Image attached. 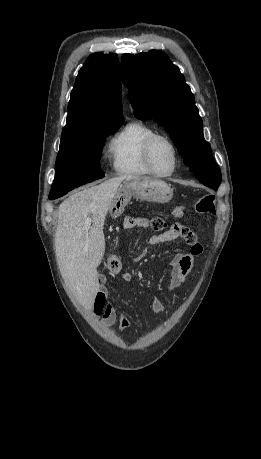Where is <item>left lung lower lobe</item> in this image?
<instances>
[{
    "label": "left lung lower lobe",
    "mask_w": 261,
    "mask_h": 459,
    "mask_svg": "<svg viewBox=\"0 0 261 459\" xmlns=\"http://www.w3.org/2000/svg\"><path fill=\"white\" fill-rule=\"evenodd\" d=\"M205 186H208L214 190H217L218 187H219V184H215V183H203Z\"/></svg>",
    "instance_id": "obj_1"
}]
</instances>
